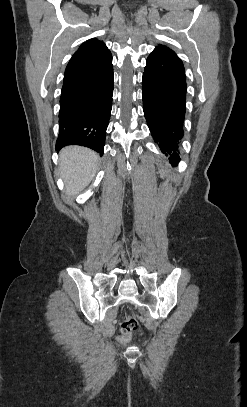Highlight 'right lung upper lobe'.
Wrapping results in <instances>:
<instances>
[{"label":"right lung upper lobe","mask_w":247,"mask_h":407,"mask_svg":"<svg viewBox=\"0 0 247 407\" xmlns=\"http://www.w3.org/2000/svg\"><path fill=\"white\" fill-rule=\"evenodd\" d=\"M111 56L103 41L96 38L84 42L74 53L65 70L64 81L83 73L96 63Z\"/></svg>","instance_id":"obj_1"}]
</instances>
